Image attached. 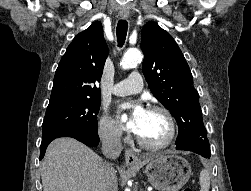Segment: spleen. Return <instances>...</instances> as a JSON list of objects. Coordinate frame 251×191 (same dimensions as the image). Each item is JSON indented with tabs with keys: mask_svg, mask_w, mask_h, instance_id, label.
<instances>
[{
	"mask_svg": "<svg viewBox=\"0 0 251 191\" xmlns=\"http://www.w3.org/2000/svg\"><path fill=\"white\" fill-rule=\"evenodd\" d=\"M199 181H200V191H209V187H210V175H209V171L208 169H201L200 171V177H199Z\"/></svg>",
	"mask_w": 251,
	"mask_h": 191,
	"instance_id": "obj_1",
	"label": "spleen"
}]
</instances>
